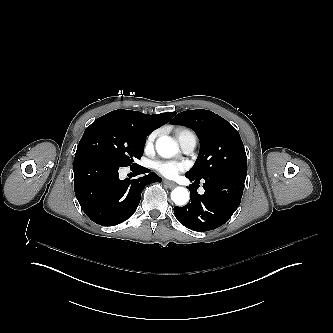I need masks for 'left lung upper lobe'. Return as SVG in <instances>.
Here are the masks:
<instances>
[{
  "instance_id": "left-lung-upper-lobe-1",
  "label": "left lung upper lobe",
  "mask_w": 333,
  "mask_h": 333,
  "mask_svg": "<svg viewBox=\"0 0 333 333\" xmlns=\"http://www.w3.org/2000/svg\"><path fill=\"white\" fill-rule=\"evenodd\" d=\"M171 124L190 127L200 140V152L194 166L186 173L194 179L210 181L225 173L247 174V156L237 130L225 119L208 110L177 114Z\"/></svg>"
}]
</instances>
